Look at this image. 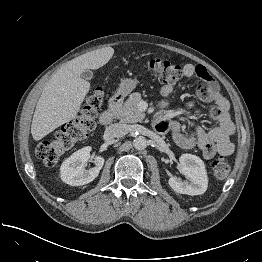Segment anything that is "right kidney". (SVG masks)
I'll return each instance as SVG.
<instances>
[{"label":"right kidney","instance_id":"1","mask_svg":"<svg viewBox=\"0 0 262 262\" xmlns=\"http://www.w3.org/2000/svg\"><path fill=\"white\" fill-rule=\"evenodd\" d=\"M91 147H85L74 152L61 165V179L71 186L85 185L93 181L104 164V158L95 156V167L86 170L85 164L91 158Z\"/></svg>","mask_w":262,"mask_h":262}]
</instances>
